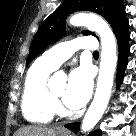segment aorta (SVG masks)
Listing matches in <instances>:
<instances>
[{"label": "aorta", "mask_w": 136, "mask_h": 136, "mask_svg": "<svg viewBox=\"0 0 136 136\" xmlns=\"http://www.w3.org/2000/svg\"><path fill=\"white\" fill-rule=\"evenodd\" d=\"M70 24L73 26H86L95 31L100 37L102 47L95 96L82 122V131L86 133L101 119L110 99L117 63L116 39L108 23L95 14L77 13L70 18ZM59 79L65 83V76L58 73L53 75L51 81L54 82Z\"/></svg>", "instance_id": "aorta-1"}]
</instances>
